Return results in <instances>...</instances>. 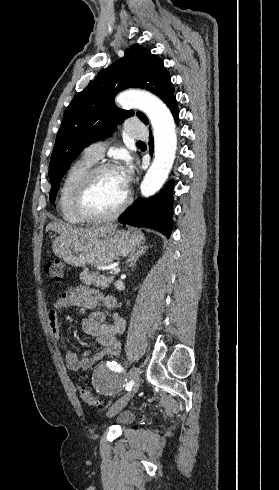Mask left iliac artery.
<instances>
[{"label":"left iliac artery","mask_w":279,"mask_h":490,"mask_svg":"<svg viewBox=\"0 0 279 490\" xmlns=\"http://www.w3.org/2000/svg\"><path fill=\"white\" fill-rule=\"evenodd\" d=\"M109 368L116 372H122L124 370V368L120 364H117V362L115 361L109 362Z\"/></svg>","instance_id":"obj_1"}]
</instances>
